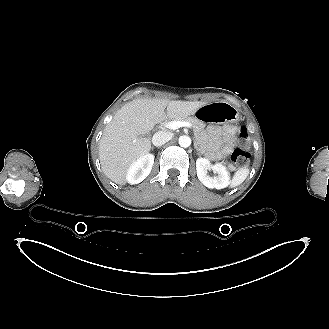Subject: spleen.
Segmentation results:
<instances>
[{
	"label": "spleen",
	"mask_w": 329,
	"mask_h": 329,
	"mask_svg": "<svg viewBox=\"0 0 329 329\" xmlns=\"http://www.w3.org/2000/svg\"><path fill=\"white\" fill-rule=\"evenodd\" d=\"M249 175V169L247 168H240L233 176L231 186L236 187L240 185Z\"/></svg>",
	"instance_id": "1"
}]
</instances>
